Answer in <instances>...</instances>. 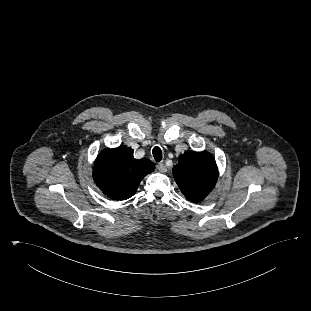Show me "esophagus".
<instances>
[{
    "instance_id": "34e87169",
    "label": "esophagus",
    "mask_w": 311,
    "mask_h": 311,
    "mask_svg": "<svg viewBox=\"0 0 311 311\" xmlns=\"http://www.w3.org/2000/svg\"><path fill=\"white\" fill-rule=\"evenodd\" d=\"M157 169L160 171V172H166L167 171V168L166 166L163 164V163H159L157 165Z\"/></svg>"
}]
</instances>
